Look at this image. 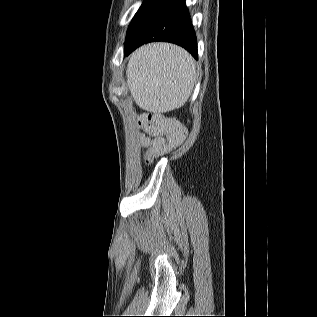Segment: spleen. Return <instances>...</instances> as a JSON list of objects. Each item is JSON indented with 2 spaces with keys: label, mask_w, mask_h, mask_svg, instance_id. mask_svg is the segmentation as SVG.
<instances>
[{
  "label": "spleen",
  "mask_w": 317,
  "mask_h": 317,
  "mask_svg": "<svg viewBox=\"0 0 317 317\" xmlns=\"http://www.w3.org/2000/svg\"><path fill=\"white\" fill-rule=\"evenodd\" d=\"M196 80L194 60L184 49L154 43L134 52L127 66L128 87L136 104L150 112L181 107Z\"/></svg>",
  "instance_id": "obj_1"
}]
</instances>
